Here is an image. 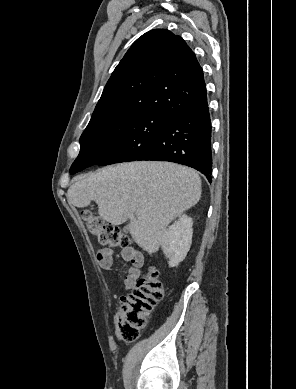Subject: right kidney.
Masks as SVG:
<instances>
[{"mask_svg": "<svg viewBox=\"0 0 296 389\" xmlns=\"http://www.w3.org/2000/svg\"><path fill=\"white\" fill-rule=\"evenodd\" d=\"M192 225V218L183 214L164 232L161 246L169 267H176L185 259L192 244Z\"/></svg>", "mask_w": 296, "mask_h": 389, "instance_id": "right-kidney-1", "label": "right kidney"}]
</instances>
